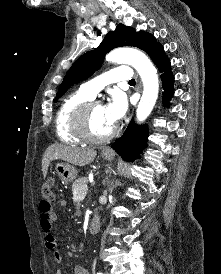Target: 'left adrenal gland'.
<instances>
[{
    "mask_svg": "<svg viewBox=\"0 0 221 274\" xmlns=\"http://www.w3.org/2000/svg\"><path fill=\"white\" fill-rule=\"evenodd\" d=\"M112 190H113V187H110V188H109V191L112 192Z\"/></svg>",
    "mask_w": 221,
    "mask_h": 274,
    "instance_id": "left-adrenal-gland-1",
    "label": "left adrenal gland"
}]
</instances>
